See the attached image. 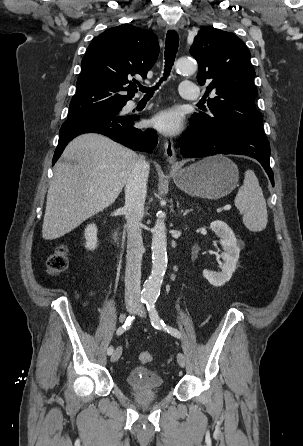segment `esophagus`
<instances>
[{"label":"esophagus","mask_w":303,"mask_h":446,"mask_svg":"<svg viewBox=\"0 0 303 446\" xmlns=\"http://www.w3.org/2000/svg\"><path fill=\"white\" fill-rule=\"evenodd\" d=\"M170 30H178V26L177 25H170L169 26ZM164 154L167 158V161L171 164V165H176L177 163V158H176V152L174 149V144L172 141H167L165 140L164 142Z\"/></svg>","instance_id":"34e87169"}]
</instances>
